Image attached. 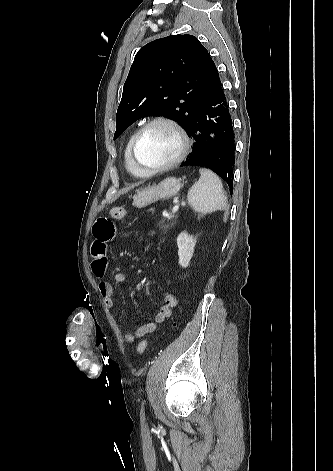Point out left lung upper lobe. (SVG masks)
<instances>
[{
    "label": "left lung upper lobe",
    "instance_id": "obj_1",
    "mask_svg": "<svg viewBox=\"0 0 333 471\" xmlns=\"http://www.w3.org/2000/svg\"><path fill=\"white\" fill-rule=\"evenodd\" d=\"M215 69L192 35H170L143 46L124 84L114 139L149 115L171 118L188 132Z\"/></svg>",
    "mask_w": 333,
    "mask_h": 471
}]
</instances>
